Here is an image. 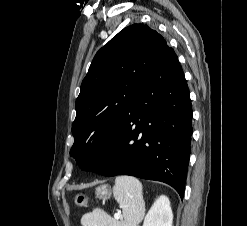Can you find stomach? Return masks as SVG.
<instances>
[{"instance_id": "stomach-1", "label": "stomach", "mask_w": 247, "mask_h": 226, "mask_svg": "<svg viewBox=\"0 0 247 226\" xmlns=\"http://www.w3.org/2000/svg\"><path fill=\"white\" fill-rule=\"evenodd\" d=\"M96 195L101 199H108L111 195L110 191L108 190L107 185H101L96 188ZM74 203L79 207H87L88 204V197L84 194H77L74 198Z\"/></svg>"}]
</instances>
